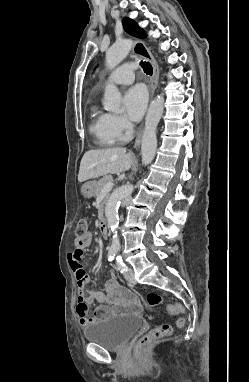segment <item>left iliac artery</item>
I'll return each instance as SVG.
<instances>
[{"instance_id":"left-iliac-artery-1","label":"left iliac artery","mask_w":249,"mask_h":382,"mask_svg":"<svg viewBox=\"0 0 249 382\" xmlns=\"http://www.w3.org/2000/svg\"><path fill=\"white\" fill-rule=\"evenodd\" d=\"M116 262H117V265L119 267V269L121 270V273H124V272H127V266L125 265V263L123 262L121 256H118L116 258Z\"/></svg>"}]
</instances>
